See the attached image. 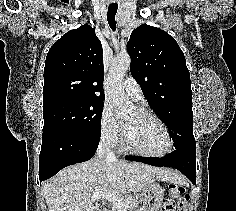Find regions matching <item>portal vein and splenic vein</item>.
I'll return each mask as SVG.
<instances>
[{
    "instance_id": "obj_1",
    "label": "portal vein and splenic vein",
    "mask_w": 236,
    "mask_h": 211,
    "mask_svg": "<svg viewBox=\"0 0 236 211\" xmlns=\"http://www.w3.org/2000/svg\"><path fill=\"white\" fill-rule=\"evenodd\" d=\"M100 198H103L104 200H108V201L112 202V204H114L116 207H118L119 211H126L129 206V204L125 203L120 196L110 194V193L102 194V196L94 195V196H92L91 199L93 201H96V200H99Z\"/></svg>"
}]
</instances>
